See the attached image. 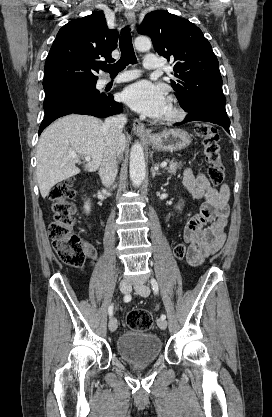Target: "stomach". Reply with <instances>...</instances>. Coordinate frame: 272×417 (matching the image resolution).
<instances>
[{"instance_id": "stomach-1", "label": "stomach", "mask_w": 272, "mask_h": 417, "mask_svg": "<svg viewBox=\"0 0 272 417\" xmlns=\"http://www.w3.org/2000/svg\"><path fill=\"white\" fill-rule=\"evenodd\" d=\"M146 141L155 150L174 152L185 149L191 143V137L185 130L174 128L153 134Z\"/></svg>"}]
</instances>
